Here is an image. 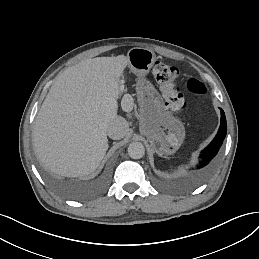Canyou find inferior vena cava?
Segmentation results:
<instances>
[{"instance_id":"602c4592","label":"inferior vena cava","mask_w":259,"mask_h":259,"mask_svg":"<svg viewBox=\"0 0 259 259\" xmlns=\"http://www.w3.org/2000/svg\"><path fill=\"white\" fill-rule=\"evenodd\" d=\"M128 127V122L124 118L117 117L108 124L107 134L111 139L119 140L126 135Z\"/></svg>"}]
</instances>
